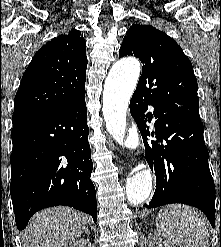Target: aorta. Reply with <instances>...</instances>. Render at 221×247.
<instances>
[{
  "label": "aorta",
  "mask_w": 221,
  "mask_h": 247,
  "mask_svg": "<svg viewBox=\"0 0 221 247\" xmlns=\"http://www.w3.org/2000/svg\"><path fill=\"white\" fill-rule=\"evenodd\" d=\"M140 75V63L134 58L121 59L111 68L104 84L103 115L109 133L124 144L126 110ZM152 190V173L149 169L136 172L127 178L126 196L134 206L144 203Z\"/></svg>",
  "instance_id": "762f6f07"
}]
</instances>
